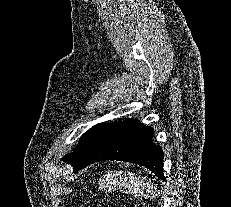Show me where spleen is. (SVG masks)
<instances>
[{"instance_id":"obj_1","label":"spleen","mask_w":231,"mask_h":207,"mask_svg":"<svg viewBox=\"0 0 231 207\" xmlns=\"http://www.w3.org/2000/svg\"><path fill=\"white\" fill-rule=\"evenodd\" d=\"M107 186L109 190H120L125 193H131L136 197H154L157 195V188L154 186L151 180L145 178H139L130 173L126 174H114L108 179Z\"/></svg>"}]
</instances>
